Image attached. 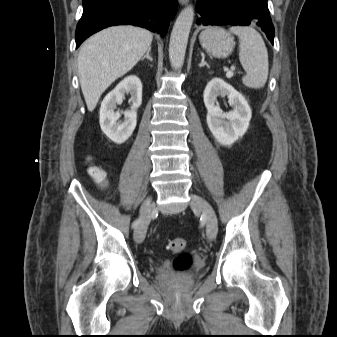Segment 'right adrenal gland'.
Here are the masks:
<instances>
[{
	"label": "right adrenal gland",
	"instance_id": "2a0ac1e0",
	"mask_svg": "<svg viewBox=\"0 0 337 337\" xmlns=\"http://www.w3.org/2000/svg\"><path fill=\"white\" fill-rule=\"evenodd\" d=\"M150 51L151 48H149L146 52V55H144V57H142V60H144L145 58H147L148 60H150L151 62L153 61L152 57H150Z\"/></svg>",
	"mask_w": 337,
	"mask_h": 337
}]
</instances>
